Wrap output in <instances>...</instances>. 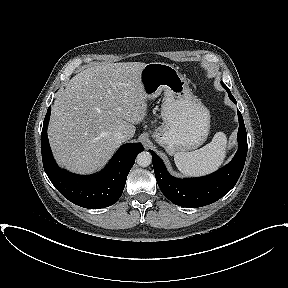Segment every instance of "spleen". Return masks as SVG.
I'll return each instance as SVG.
<instances>
[{
	"instance_id": "spleen-1",
	"label": "spleen",
	"mask_w": 288,
	"mask_h": 288,
	"mask_svg": "<svg viewBox=\"0 0 288 288\" xmlns=\"http://www.w3.org/2000/svg\"><path fill=\"white\" fill-rule=\"evenodd\" d=\"M227 138L217 132L212 141L192 152H177L174 161L178 170L186 176H201L217 170L226 155Z\"/></svg>"
}]
</instances>
